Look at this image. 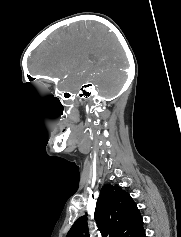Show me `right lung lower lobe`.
Masks as SVG:
<instances>
[{
    "label": "right lung lower lobe",
    "instance_id": "right-lung-lower-lobe-1",
    "mask_svg": "<svg viewBox=\"0 0 181 237\" xmlns=\"http://www.w3.org/2000/svg\"><path fill=\"white\" fill-rule=\"evenodd\" d=\"M140 237H146L145 232H143V233L140 235Z\"/></svg>",
    "mask_w": 181,
    "mask_h": 237
}]
</instances>
